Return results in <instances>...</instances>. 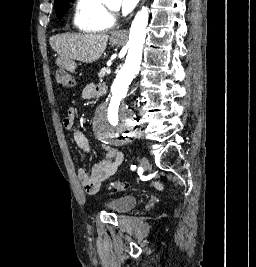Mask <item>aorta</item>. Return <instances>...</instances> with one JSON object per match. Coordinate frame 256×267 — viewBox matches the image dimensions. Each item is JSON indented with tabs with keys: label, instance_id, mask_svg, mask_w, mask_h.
Listing matches in <instances>:
<instances>
[{
	"label": "aorta",
	"instance_id": "aorta-1",
	"mask_svg": "<svg viewBox=\"0 0 256 267\" xmlns=\"http://www.w3.org/2000/svg\"><path fill=\"white\" fill-rule=\"evenodd\" d=\"M148 18L149 8L144 6L140 12H137L131 24L129 40L126 44L129 50L122 72L116 75L112 89L107 95V101H102L100 108L95 110L94 127H131V122H134L131 108L121 103L128 84L140 68ZM91 133L92 138H99V143H131V138H121V133H126V128H91Z\"/></svg>",
	"mask_w": 256,
	"mask_h": 267
}]
</instances>
